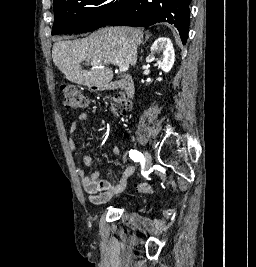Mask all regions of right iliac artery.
Returning <instances> with one entry per match:
<instances>
[{
    "label": "right iliac artery",
    "mask_w": 256,
    "mask_h": 267,
    "mask_svg": "<svg viewBox=\"0 0 256 267\" xmlns=\"http://www.w3.org/2000/svg\"><path fill=\"white\" fill-rule=\"evenodd\" d=\"M129 156L135 162H138L139 160H141L143 158L142 153L137 151V150H130L129 151Z\"/></svg>",
    "instance_id": "1"
}]
</instances>
